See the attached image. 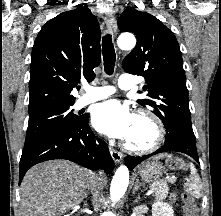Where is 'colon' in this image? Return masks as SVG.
Instances as JSON below:
<instances>
[{
    "label": "colon",
    "instance_id": "5ec220e1",
    "mask_svg": "<svg viewBox=\"0 0 221 216\" xmlns=\"http://www.w3.org/2000/svg\"><path fill=\"white\" fill-rule=\"evenodd\" d=\"M171 169L181 168V162L178 159H171L168 162ZM184 202V216H198V208L195 200L187 193L182 195Z\"/></svg>",
    "mask_w": 221,
    "mask_h": 216
}]
</instances>
